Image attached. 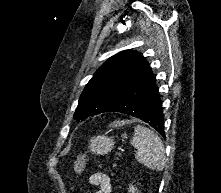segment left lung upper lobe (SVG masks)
I'll return each instance as SVG.
<instances>
[{
	"label": "left lung upper lobe",
	"mask_w": 221,
	"mask_h": 193,
	"mask_svg": "<svg viewBox=\"0 0 221 193\" xmlns=\"http://www.w3.org/2000/svg\"><path fill=\"white\" fill-rule=\"evenodd\" d=\"M150 69L139 52L125 50L112 56L86 85L73 118L83 120L103 113L126 87Z\"/></svg>",
	"instance_id": "1"
}]
</instances>
